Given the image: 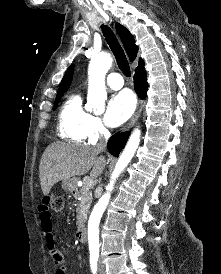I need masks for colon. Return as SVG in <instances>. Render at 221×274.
I'll use <instances>...</instances> for the list:
<instances>
[{"label":"colon","mask_w":221,"mask_h":274,"mask_svg":"<svg viewBox=\"0 0 221 274\" xmlns=\"http://www.w3.org/2000/svg\"><path fill=\"white\" fill-rule=\"evenodd\" d=\"M44 204L55 212H61L65 206V200L59 195H50L44 200Z\"/></svg>","instance_id":"obj_1"}]
</instances>
